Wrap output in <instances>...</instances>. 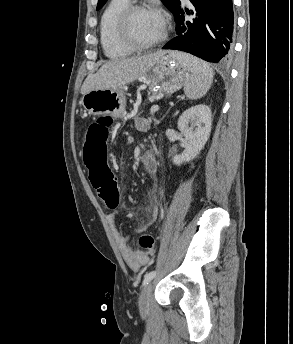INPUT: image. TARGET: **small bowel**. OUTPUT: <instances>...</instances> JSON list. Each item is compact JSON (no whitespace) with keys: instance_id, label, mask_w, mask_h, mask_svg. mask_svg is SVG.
I'll return each mask as SVG.
<instances>
[{"instance_id":"small-bowel-1","label":"small bowel","mask_w":293,"mask_h":344,"mask_svg":"<svg viewBox=\"0 0 293 344\" xmlns=\"http://www.w3.org/2000/svg\"><path fill=\"white\" fill-rule=\"evenodd\" d=\"M136 128L140 131H147L150 128V123L145 118H137L135 121ZM147 170L153 174L157 172V164L155 160L151 163L149 167H146ZM153 205L151 207L150 213L148 217L137 227V230H144L146 229L156 218L157 215V205H156V195L153 193ZM109 221L112 225L113 235L116 241V244L125 260L127 265L134 271H138L143 265L148 262L147 257H141L137 253L136 250L132 249L129 246V239L127 236L123 235L119 230L116 228L115 220L116 216L115 213H110Z\"/></svg>"}]
</instances>
